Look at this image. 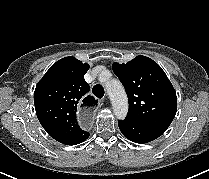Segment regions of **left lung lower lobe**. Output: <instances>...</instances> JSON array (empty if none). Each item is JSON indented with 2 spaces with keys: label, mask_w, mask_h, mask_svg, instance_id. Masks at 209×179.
I'll use <instances>...</instances> for the list:
<instances>
[{
  "label": "left lung lower lobe",
  "mask_w": 209,
  "mask_h": 179,
  "mask_svg": "<svg viewBox=\"0 0 209 179\" xmlns=\"http://www.w3.org/2000/svg\"><path fill=\"white\" fill-rule=\"evenodd\" d=\"M120 131L129 140L135 143H147L160 137L164 131L148 127L126 118L118 122Z\"/></svg>",
  "instance_id": "0a47b994"
}]
</instances>
